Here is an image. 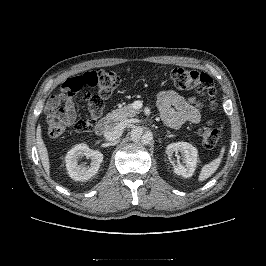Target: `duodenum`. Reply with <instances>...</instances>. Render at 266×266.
<instances>
[{"label":"duodenum","mask_w":266,"mask_h":266,"mask_svg":"<svg viewBox=\"0 0 266 266\" xmlns=\"http://www.w3.org/2000/svg\"><path fill=\"white\" fill-rule=\"evenodd\" d=\"M109 121L107 119H101L96 122L94 126L95 134L98 136L103 135L108 129Z\"/></svg>","instance_id":"1"}]
</instances>
